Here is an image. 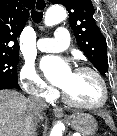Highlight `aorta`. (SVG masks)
<instances>
[{
  "label": "aorta",
  "instance_id": "762f6f07",
  "mask_svg": "<svg viewBox=\"0 0 117 136\" xmlns=\"http://www.w3.org/2000/svg\"><path fill=\"white\" fill-rule=\"evenodd\" d=\"M67 18L66 10L59 5L50 7L45 15V25L53 26ZM64 125L59 122L51 130L50 136H63Z\"/></svg>",
  "mask_w": 117,
  "mask_h": 136
}]
</instances>
